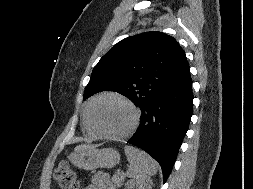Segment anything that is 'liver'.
<instances>
[{
	"label": "liver",
	"instance_id": "obj_1",
	"mask_svg": "<svg viewBox=\"0 0 253 189\" xmlns=\"http://www.w3.org/2000/svg\"><path fill=\"white\" fill-rule=\"evenodd\" d=\"M92 147H95V146L86 145V144H81V145L76 146L74 150H75V151H78V150H83V149L92 148Z\"/></svg>",
	"mask_w": 253,
	"mask_h": 189
}]
</instances>
